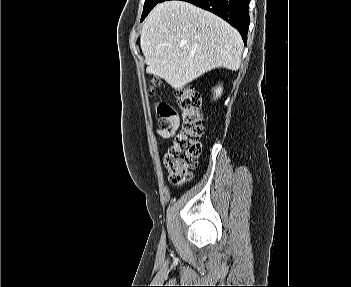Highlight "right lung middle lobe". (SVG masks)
Masks as SVG:
<instances>
[{"instance_id": "dd1d6c3e", "label": "right lung middle lobe", "mask_w": 351, "mask_h": 287, "mask_svg": "<svg viewBox=\"0 0 351 287\" xmlns=\"http://www.w3.org/2000/svg\"><path fill=\"white\" fill-rule=\"evenodd\" d=\"M161 0H145L143 14L141 17V21L145 19V17L149 14V12L156 6Z\"/></svg>"}]
</instances>
